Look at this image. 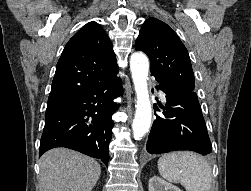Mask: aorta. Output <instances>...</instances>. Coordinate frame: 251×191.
Here are the masks:
<instances>
[{"mask_svg":"<svg viewBox=\"0 0 251 191\" xmlns=\"http://www.w3.org/2000/svg\"><path fill=\"white\" fill-rule=\"evenodd\" d=\"M130 70L137 96L135 115L132 121L133 137L134 139H142L151 125L152 117V107L147 86L149 62L143 52H134L132 54Z\"/></svg>","mask_w":251,"mask_h":191,"instance_id":"1","label":"aorta"}]
</instances>
